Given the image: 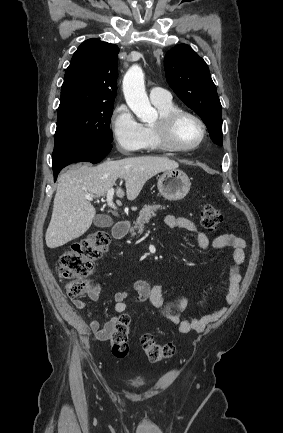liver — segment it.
Here are the masks:
<instances>
[{
    "label": "liver",
    "mask_w": 283,
    "mask_h": 433,
    "mask_svg": "<svg viewBox=\"0 0 283 433\" xmlns=\"http://www.w3.org/2000/svg\"><path fill=\"white\" fill-rule=\"evenodd\" d=\"M178 166L176 160L166 156H129L122 160L108 158L97 166L82 164L60 174L46 231L47 247H62L84 235L91 227L96 210L85 196H104L116 184L117 178H124L126 196L128 200H134L151 176L163 170H176ZM116 194L122 198L125 192L118 186Z\"/></svg>",
    "instance_id": "obj_1"
}]
</instances>
